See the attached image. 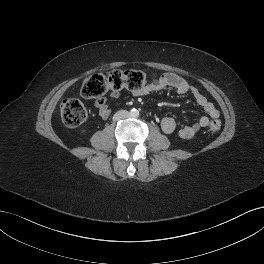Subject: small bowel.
I'll return each mask as SVG.
<instances>
[{
	"label": "small bowel",
	"instance_id": "small-bowel-1",
	"mask_svg": "<svg viewBox=\"0 0 264 264\" xmlns=\"http://www.w3.org/2000/svg\"><path fill=\"white\" fill-rule=\"evenodd\" d=\"M170 87L178 94H191L196 103L203 108L207 116L200 117L194 124L177 128L175 121L172 118L165 117L161 120L160 126L165 134L177 133L182 139H192L204 127L208 126L210 119H217L219 111L196 87L192 86L187 80L174 73L163 74L157 84H149L141 90L135 91L136 96L147 95L159 88ZM119 93H112L113 98H117ZM95 107L102 118H107L111 109L108 100L100 97L95 101Z\"/></svg>",
	"mask_w": 264,
	"mask_h": 264
}]
</instances>
